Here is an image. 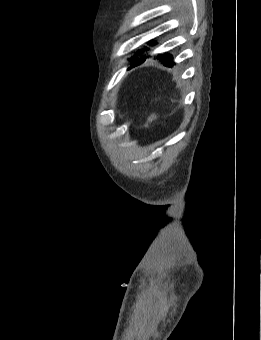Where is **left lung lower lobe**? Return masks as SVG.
I'll list each match as a JSON object with an SVG mask.
<instances>
[{"mask_svg":"<svg viewBox=\"0 0 261 340\" xmlns=\"http://www.w3.org/2000/svg\"><path fill=\"white\" fill-rule=\"evenodd\" d=\"M158 59L161 60V62L165 65V66H169L172 67L174 65L173 59H172V55L169 53H165V54H159L157 56ZM145 58L141 59V60H137L133 63L132 66L137 65L139 63H141Z\"/></svg>","mask_w":261,"mask_h":340,"instance_id":"1","label":"left lung lower lobe"}]
</instances>
